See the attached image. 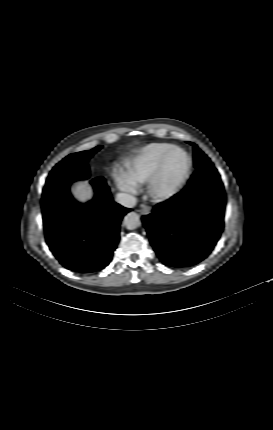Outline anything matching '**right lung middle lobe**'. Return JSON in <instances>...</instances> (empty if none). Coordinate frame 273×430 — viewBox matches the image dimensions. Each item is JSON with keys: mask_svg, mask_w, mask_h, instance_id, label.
Returning a JSON list of instances; mask_svg holds the SVG:
<instances>
[{"mask_svg": "<svg viewBox=\"0 0 273 430\" xmlns=\"http://www.w3.org/2000/svg\"><path fill=\"white\" fill-rule=\"evenodd\" d=\"M102 146L95 147L90 151H82L70 154L61 162H59L49 174L43 196H47L57 189L68 186L73 181L85 179L89 176L87 161L100 150Z\"/></svg>", "mask_w": 273, "mask_h": 430, "instance_id": "dd1d6c3e", "label": "right lung middle lobe"}]
</instances>
